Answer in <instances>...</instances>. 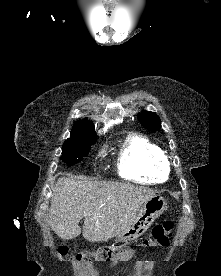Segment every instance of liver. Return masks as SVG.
Here are the masks:
<instances>
[{"label": "liver", "instance_id": "6515ba94", "mask_svg": "<svg viewBox=\"0 0 221 276\" xmlns=\"http://www.w3.org/2000/svg\"><path fill=\"white\" fill-rule=\"evenodd\" d=\"M155 196L153 191L133 185L76 180L61 177L51 198L49 223L62 239L81 234L90 242L108 241L126 230L142 205Z\"/></svg>", "mask_w": 221, "mask_h": 276}]
</instances>
